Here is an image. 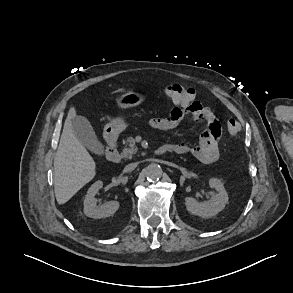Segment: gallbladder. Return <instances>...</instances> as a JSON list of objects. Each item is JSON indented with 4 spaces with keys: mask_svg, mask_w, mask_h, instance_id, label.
<instances>
[{
    "mask_svg": "<svg viewBox=\"0 0 293 293\" xmlns=\"http://www.w3.org/2000/svg\"><path fill=\"white\" fill-rule=\"evenodd\" d=\"M72 129L78 140L88 150L96 155H102L104 147L97 138L90 122L83 116H75L71 119Z\"/></svg>",
    "mask_w": 293,
    "mask_h": 293,
    "instance_id": "1",
    "label": "gallbladder"
}]
</instances>
